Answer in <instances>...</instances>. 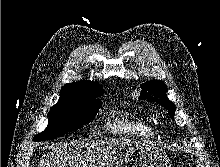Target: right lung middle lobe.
<instances>
[{
	"label": "right lung middle lobe",
	"mask_w": 220,
	"mask_h": 167,
	"mask_svg": "<svg viewBox=\"0 0 220 167\" xmlns=\"http://www.w3.org/2000/svg\"><path fill=\"white\" fill-rule=\"evenodd\" d=\"M101 102L96 98L59 101L49 111V124L34 141L51 140L89 123L98 112Z\"/></svg>",
	"instance_id": "1"
}]
</instances>
